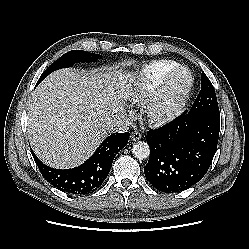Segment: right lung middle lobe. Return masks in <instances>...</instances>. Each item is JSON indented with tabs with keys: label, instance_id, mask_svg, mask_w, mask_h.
Here are the masks:
<instances>
[{
	"label": "right lung middle lobe",
	"instance_id": "dd1d6c3e",
	"mask_svg": "<svg viewBox=\"0 0 249 249\" xmlns=\"http://www.w3.org/2000/svg\"><path fill=\"white\" fill-rule=\"evenodd\" d=\"M100 57L101 55L99 54L89 53L83 50L69 51L63 54L59 59H57L44 71L38 83L41 82L46 76H48L50 73H52L57 69L70 67L71 65L77 62H94Z\"/></svg>",
	"mask_w": 249,
	"mask_h": 249
}]
</instances>
